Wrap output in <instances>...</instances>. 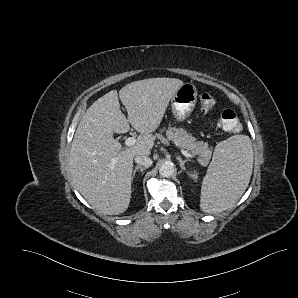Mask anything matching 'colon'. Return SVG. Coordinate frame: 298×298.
<instances>
[{
  "label": "colon",
  "mask_w": 298,
  "mask_h": 298,
  "mask_svg": "<svg viewBox=\"0 0 298 298\" xmlns=\"http://www.w3.org/2000/svg\"><path fill=\"white\" fill-rule=\"evenodd\" d=\"M199 102L202 111L209 112L215 106V99L209 93H202L199 96ZM216 124L227 132H238L241 129V123L233 110H224L218 117Z\"/></svg>",
  "instance_id": "obj_1"
}]
</instances>
